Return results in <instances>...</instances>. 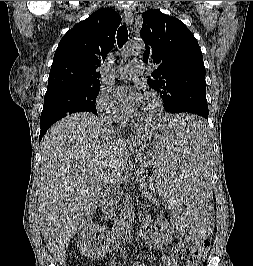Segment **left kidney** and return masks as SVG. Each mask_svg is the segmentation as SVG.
Returning a JSON list of instances; mask_svg holds the SVG:
<instances>
[{
  "label": "left kidney",
  "mask_w": 253,
  "mask_h": 266,
  "mask_svg": "<svg viewBox=\"0 0 253 266\" xmlns=\"http://www.w3.org/2000/svg\"><path fill=\"white\" fill-rule=\"evenodd\" d=\"M157 224L160 226V232L150 234L143 230L141 233L145 243L153 247H161L172 239L170 225L167 220L159 217L157 218Z\"/></svg>",
  "instance_id": "5707ae66"
}]
</instances>
